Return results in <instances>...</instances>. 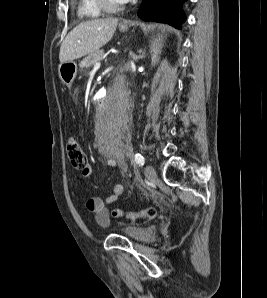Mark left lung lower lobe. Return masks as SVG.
<instances>
[{"label": "left lung lower lobe", "mask_w": 267, "mask_h": 298, "mask_svg": "<svg viewBox=\"0 0 267 298\" xmlns=\"http://www.w3.org/2000/svg\"><path fill=\"white\" fill-rule=\"evenodd\" d=\"M186 0H144L138 16L143 20H156L158 22H169L180 28L185 21V14L180 8Z\"/></svg>", "instance_id": "left-lung-lower-lobe-1"}]
</instances>
